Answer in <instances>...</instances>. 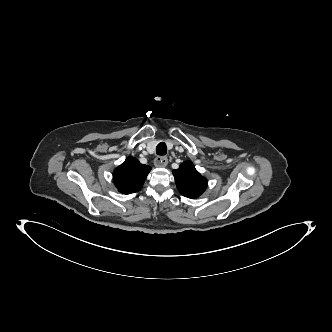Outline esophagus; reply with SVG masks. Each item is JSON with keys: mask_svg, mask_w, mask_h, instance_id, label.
<instances>
[{"mask_svg": "<svg viewBox=\"0 0 332 332\" xmlns=\"http://www.w3.org/2000/svg\"><path fill=\"white\" fill-rule=\"evenodd\" d=\"M154 164L156 167H165L168 164V159L165 156H158L155 158Z\"/></svg>", "mask_w": 332, "mask_h": 332, "instance_id": "esophagus-1", "label": "esophagus"}]
</instances>
